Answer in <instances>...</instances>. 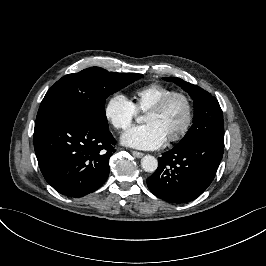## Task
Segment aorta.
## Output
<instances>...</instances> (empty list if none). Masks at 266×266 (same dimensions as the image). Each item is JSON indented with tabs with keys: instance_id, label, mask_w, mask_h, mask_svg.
<instances>
[{
	"instance_id": "obj_1",
	"label": "aorta",
	"mask_w": 266,
	"mask_h": 266,
	"mask_svg": "<svg viewBox=\"0 0 266 266\" xmlns=\"http://www.w3.org/2000/svg\"><path fill=\"white\" fill-rule=\"evenodd\" d=\"M141 117H138L136 120H140ZM141 167L145 172L152 173L156 171L158 167V161L157 159L152 155H145L141 159Z\"/></svg>"
}]
</instances>
